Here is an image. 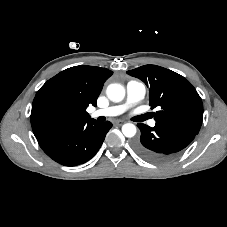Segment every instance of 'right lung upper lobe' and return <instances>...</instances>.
<instances>
[{
    "label": "right lung upper lobe",
    "instance_id": "1",
    "mask_svg": "<svg viewBox=\"0 0 227 227\" xmlns=\"http://www.w3.org/2000/svg\"><path fill=\"white\" fill-rule=\"evenodd\" d=\"M106 68L74 66L49 79L36 93L31 111V125L36 138L48 132L75 123L90 120L86 108L96 106L103 83L112 75ZM54 102L64 110L63 118L56 123L43 121L40 110L46 102Z\"/></svg>",
    "mask_w": 227,
    "mask_h": 227
}]
</instances>
